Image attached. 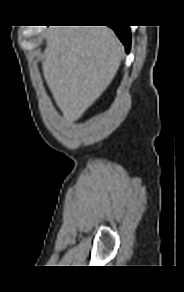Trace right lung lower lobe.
I'll return each mask as SVG.
<instances>
[{"label":"right lung lower lobe","mask_w":184,"mask_h":292,"mask_svg":"<svg viewBox=\"0 0 184 292\" xmlns=\"http://www.w3.org/2000/svg\"><path fill=\"white\" fill-rule=\"evenodd\" d=\"M111 28L115 31L119 39L125 45L126 51L129 52L130 44H131V35L129 26H115Z\"/></svg>","instance_id":"98d812e1"}]
</instances>
